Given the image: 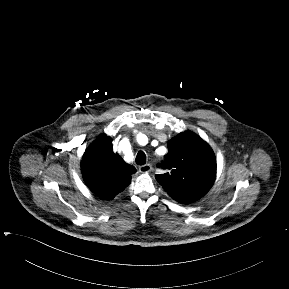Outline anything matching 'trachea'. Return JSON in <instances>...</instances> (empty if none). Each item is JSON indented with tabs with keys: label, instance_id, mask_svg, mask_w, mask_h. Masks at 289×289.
<instances>
[{
	"label": "trachea",
	"instance_id": "obj_1",
	"mask_svg": "<svg viewBox=\"0 0 289 289\" xmlns=\"http://www.w3.org/2000/svg\"><path fill=\"white\" fill-rule=\"evenodd\" d=\"M136 163L138 165H144L146 163V155L143 151H139L136 156Z\"/></svg>",
	"mask_w": 289,
	"mask_h": 289
}]
</instances>
